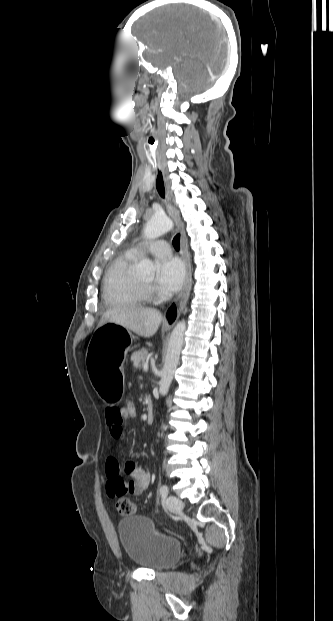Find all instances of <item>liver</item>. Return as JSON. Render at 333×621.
Wrapping results in <instances>:
<instances>
[{
  "label": "liver",
  "instance_id": "obj_1",
  "mask_svg": "<svg viewBox=\"0 0 333 621\" xmlns=\"http://www.w3.org/2000/svg\"><path fill=\"white\" fill-rule=\"evenodd\" d=\"M161 321L162 315L158 310L125 306L107 310L103 314L98 328L106 323H114L133 331L139 336L148 338L157 332Z\"/></svg>",
  "mask_w": 333,
  "mask_h": 621
}]
</instances>
